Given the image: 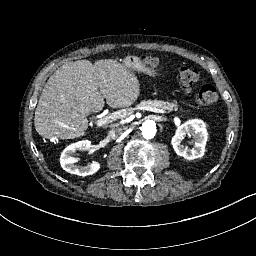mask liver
I'll return each instance as SVG.
<instances>
[{"label": "liver", "instance_id": "liver-1", "mask_svg": "<svg viewBox=\"0 0 256 256\" xmlns=\"http://www.w3.org/2000/svg\"><path fill=\"white\" fill-rule=\"evenodd\" d=\"M139 93L137 77L117 60L67 62L50 76L42 90L35 110V129L47 139L81 137L88 129L87 116L100 112L104 99L112 108H124L131 106Z\"/></svg>", "mask_w": 256, "mask_h": 256}]
</instances>
